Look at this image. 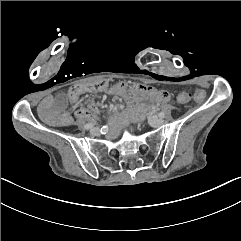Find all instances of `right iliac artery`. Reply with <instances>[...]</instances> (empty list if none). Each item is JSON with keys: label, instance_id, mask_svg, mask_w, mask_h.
Listing matches in <instances>:
<instances>
[{"label": "right iliac artery", "instance_id": "right-iliac-artery-1", "mask_svg": "<svg viewBox=\"0 0 241 241\" xmlns=\"http://www.w3.org/2000/svg\"><path fill=\"white\" fill-rule=\"evenodd\" d=\"M94 125H95V123H88V124L85 126V128H86V129H90V128H92Z\"/></svg>", "mask_w": 241, "mask_h": 241}]
</instances>
